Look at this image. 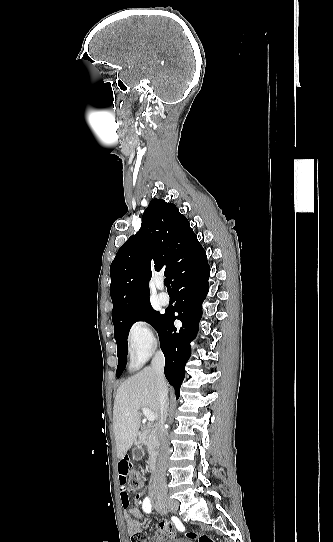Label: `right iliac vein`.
Here are the masks:
<instances>
[{"label":"right iliac vein","instance_id":"63e3f726","mask_svg":"<svg viewBox=\"0 0 333 542\" xmlns=\"http://www.w3.org/2000/svg\"><path fill=\"white\" fill-rule=\"evenodd\" d=\"M155 497H157V499L159 498L157 495H152V498H155ZM164 497L166 498L165 501H166V505L168 507H170V508L178 507V503L175 500H171V499L167 498V496H164Z\"/></svg>","mask_w":333,"mask_h":542}]
</instances>
